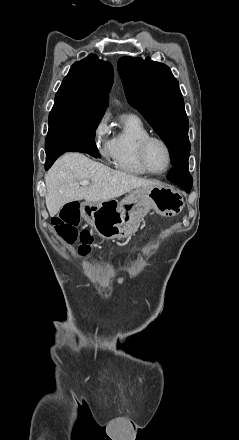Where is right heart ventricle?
I'll list each match as a JSON object with an SVG mask.
<instances>
[{
  "instance_id": "right-heart-ventricle-1",
  "label": "right heart ventricle",
  "mask_w": 239,
  "mask_h": 440,
  "mask_svg": "<svg viewBox=\"0 0 239 440\" xmlns=\"http://www.w3.org/2000/svg\"><path fill=\"white\" fill-rule=\"evenodd\" d=\"M148 135H150L149 130L137 116H126L123 129L113 137V149L110 156L112 166L129 174H148L142 167L138 156V144Z\"/></svg>"
}]
</instances>
